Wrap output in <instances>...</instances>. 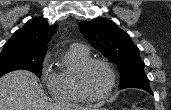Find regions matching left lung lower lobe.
<instances>
[{"mask_svg":"<svg viewBox=\"0 0 171 110\" xmlns=\"http://www.w3.org/2000/svg\"><path fill=\"white\" fill-rule=\"evenodd\" d=\"M147 92H149L150 94H153L152 91H151V89L150 90H147Z\"/></svg>","mask_w":171,"mask_h":110,"instance_id":"0a47b994","label":"left lung lower lobe"}]
</instances>
